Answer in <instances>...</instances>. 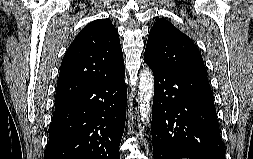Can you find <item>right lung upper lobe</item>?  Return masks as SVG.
I'll return each instance as SVG.
<instances>
[{
	"mask_svg": "<svg viewBox=\"0 0 253 159\" xmlns=\"http://www.w3.org/2000/svg\"><path fill=\"white\" fill-rule=\"evenodd\" d=\"M124 69L119 35L112 22L92 21L65 53L57 81L56 105Z\"/></svg>",
	"mask_w": 253,
	"mask_h": 159,
	"instance_id": "cb5924a9",
	"label": "right lung upper lobe"
}]
</instances>
